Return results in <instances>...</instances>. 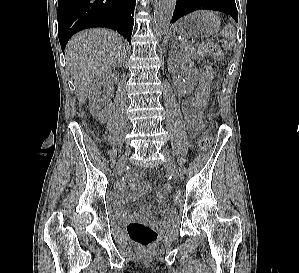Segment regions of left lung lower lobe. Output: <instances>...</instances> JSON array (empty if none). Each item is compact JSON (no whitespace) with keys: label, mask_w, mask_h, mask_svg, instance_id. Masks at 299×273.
<instances>
[{"label":"left lung lower lobe","mask_w":299,"mask_h":273,"mask_svg":"<svg viewBox=\"0 0 299 273\" xmlns=\"http://www.w3.org/2000/svg\"><path fill=\"white\" fill-rule=\"evenodd\" d=\"M199 9H208L229 14L238 21L235 0H177L171 22Z\"/></svg>","instance_id":"1"}]
</instances>
